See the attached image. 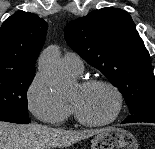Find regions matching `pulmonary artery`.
<instances>
[{
	"mask_svg": "<svg viewBox=\"0 0 155 149\" xmlns=\"http://www.w3.org/2000/svg\"><path fill=\"white\" fill-rule=\"evenodd\" d=\"M63 66L67 72L74 75H81L84 70L83 61L76 53H66L63 57Z\"/></svg>",
	"mask_w": 155,
	"mask_h": 149,
	"instance_id": "e3ab8cb5",
	"label": "pulmonary artery"
}]
</instances>
